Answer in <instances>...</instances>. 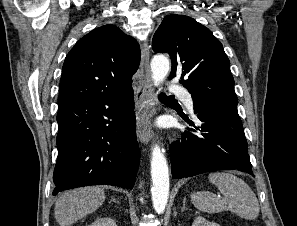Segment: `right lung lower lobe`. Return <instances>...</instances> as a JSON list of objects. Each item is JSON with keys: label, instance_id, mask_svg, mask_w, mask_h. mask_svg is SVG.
Here are the masks:
<instances>
[{"label": "right lung lower lobe", "instance_id": "98d812e1", "mask_svg": "<svg viewBox=\"0 0 297 226\" xmlns=\"http://www.w3.org/2000/svg\"><path fill=\"white\" fill-rule=\"evenodd\" d=\"M53 195L88 185L132 189L139 162L133 89L60 104Z\"/></svg>", "mask_w": 297, "mask_h": 226}]
</instances>
